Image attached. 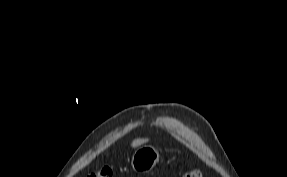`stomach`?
Returning a JSON list of instances; mask_svg holds the SVG:
<instances>
[{"label":"stomach","mask_w":287,"mask_h":177,"mask_svg":"<svg viewBox=\"0 0 287 177\" xmlns=\"http://www.w3.org/2000/svg\"><path fill=\"white\" fill-rule=\"evenodd\" d=\"M159 158L160 155L156 148L150 145L141 146L133 153L132 169L139 173L150 172L159 162Z\"/></svg>","instance_id":"1"}]
</instances>
